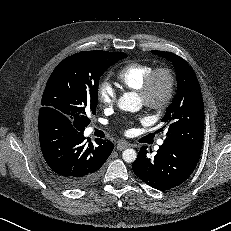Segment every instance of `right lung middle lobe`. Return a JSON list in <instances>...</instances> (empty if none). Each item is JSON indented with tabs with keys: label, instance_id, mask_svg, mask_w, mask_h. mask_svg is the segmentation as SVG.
I'll list each match as a JSON object with an SVG mask.
<instances>
[{
	"label": "right lung middle lobe",
	"instance_id": "right-lung-middle-lobe-1",
	"mask_svg": "<svg viewBox=\"0 0 231 231\" xmlns=\"http://www.w3.org/2000/svg\"><path fill=\"white\" fill-rule=\"evenodd\" d=\"M127 57L107 51L79 52L61 61L50 75L42 107H49L66 117L74 128L83 131L96 114L98 85L109 66Z\"/></svg>",
	"mask_w": 231,
	"mask_h": 231
}]
</instances>
